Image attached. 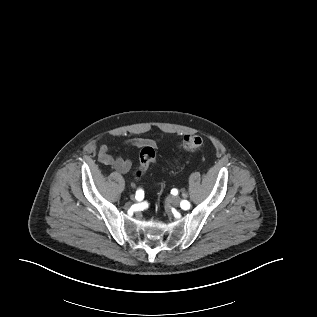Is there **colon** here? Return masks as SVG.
Wrapping results in <instances>:
<instances>
[{
	"label": "colon",
	"instance_id": "1",
	"mask_svg": "<svg viewBox=\"0 0 317 317\" xmlns=\"http://www.w3.org/2000/svg\"><path fill=\"white\" fill-rule=\"evenodd\" d=\"M202 145V139L197 135H186L183 137L180 148L193 152L199 149ZM156 153L152 146L146 145L142 148L139 154V168L136 171V178L140 179L144 176L147 168L155 161Z\"/></svg>",
	"mask_w": 317,
	"mask_h": 317
}]
</instances>
